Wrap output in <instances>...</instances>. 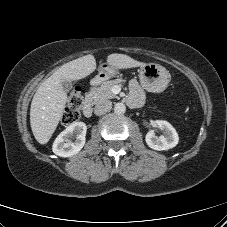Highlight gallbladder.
<instances>
[{
    "label": "gallbladder",
    "instance_id": "bac80fb5",
    "mask_svg": "<svg viewBox=\"0 0 227 227\" xmlns=\"http://www.w3.org/2000/svg\"><path fill=\"white\" fill-rule=\"evenodd\" d=\"M61 85L64 91H70L72 89V83L70 81H62Z\"/></svg>",
    "mask_w": 227,
    "mask_h": 227
}]
</instances>
